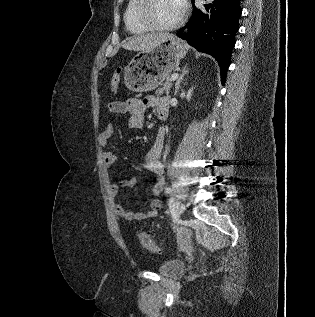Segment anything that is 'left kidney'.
I'll return each mask as SVG.
<instances>
[{"mask_svg":"<svg viewBox=\"0 0 315 317\" xmlns=\"http://www.w3.org/2000/svg\"><path fill=\"white\" fill-rule=\"evenodd\" d=\"M192 91H193V88L192 89H189L188 93H187V100L189 101L191 96H192Z\"/></svg>","mask_w":315,"mask_h":317,"instance_id":"5707ae66","label":"left kidney"}]
</instances>
